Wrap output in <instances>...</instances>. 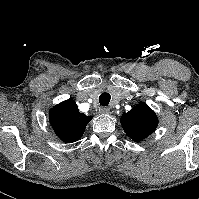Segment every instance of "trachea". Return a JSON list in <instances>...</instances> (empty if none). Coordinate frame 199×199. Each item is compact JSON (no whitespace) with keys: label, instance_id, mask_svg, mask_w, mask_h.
<instances>
[{"label":"trachea","instance_id":"obj_1","mask_svg":"<svg viewBox=\"0 0 199 199\" xmlns=\"http://www.w3.org/2000/svg\"><path fill=\"white\" fill-rule=\"evenodd\" d=\"M110 100H111V95L109 93L104 92L99 96V102L100 105L102 106H108Z\"/></svg>","mask_w":199,"mask_h":199}]
</instances>
